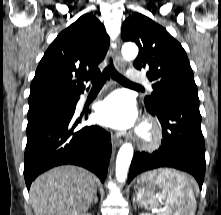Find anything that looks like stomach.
<instances>
[{"instance_id":"1","label":"stomach","mask_w":221,"mask_h":215,"mask_svg":"<svg viewBox=\"0 0 221 215\" xmlns=\"http://www.w3.org/2000/svg\"><path fill=\"white\" fill-rule=\"evenodd\" d=\"M162 170L149 172L140 176L137 180V184L139 186V190L145 192H151L153 190V186L156 185L157 178L159 177Z\"/></svg>"}]
</instances>
